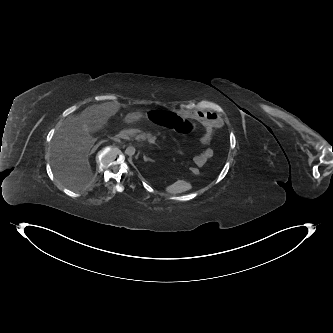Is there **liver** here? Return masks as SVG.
I'll return each instance as SVG.
<instances>
[{
	"label": "liver",
	"instance_id": "obj_1",
	"mask_svg": "<svg viewBox=\"0 0 333 333\" xmlns=\"http://www.w3.org/2000/svg\"><path fill=\"white\" fill-rule=\"evenodd\" d=\"M120 108L118 102H105L89 106L81 114L66 118L50 146L51 166L60 183L72 190H80L92 181L93 171L88 155L95 139L91 133L103 129ZM143 116L141 112H131L123 121L132 124Z\"/></svg>",
	"mask_w": 333,
	"mask_h": 333
}]
</instances>
